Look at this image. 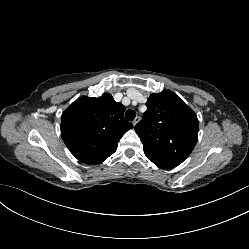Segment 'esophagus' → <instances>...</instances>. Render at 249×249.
I'll return each instance as SVG.
<instances>
[{"label": "esophagus", "mask_w": 249, "mask_h": 249, "mask_svg": "<svg viewBox=\"0 0 249 249\" xmlns=\"http://www.w3.org/2000/svg\"><path fill=\"white\" fill-rule=\"evenodd\" d=\"M140 121V117H136L133 121V126H135Z\"/></svg>", "instance_id": "obj_1"}]
</instances>
